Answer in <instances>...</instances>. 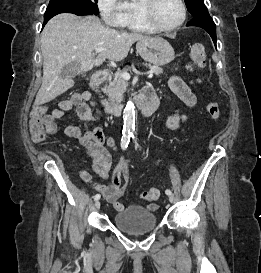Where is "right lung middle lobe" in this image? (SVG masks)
I'll return each mask as SVG.
<instances>
[{"label": "right lung middle lobe", "mask_w": 261, "mask_h": 273, "mask_svg": "<svg viewBox=\"0 0 261 273\" xmlns=\"http://www.w3.org/2000/svg\"><path fill=\"white\" fill-rule=\"evenodd\" d=\"M98 0H50L44 17L52 18L59 13H74V5L76 2L82 4L89 15L99 14Z\"/></svg>", "instance_id": "1"}]
</instances>
